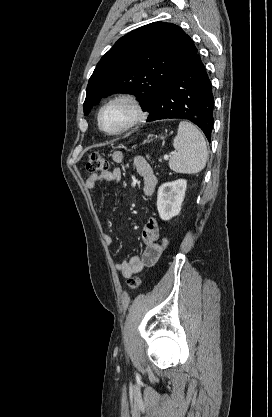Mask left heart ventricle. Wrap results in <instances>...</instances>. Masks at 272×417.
Segmentation results:
<instances>
[{
    "label": "left heart ventricle",
    "mask_w": 272,
    "mask_h": 417,
    "mask_svg": "<svg viewBox=\"0 0 272 417\" xmlns=\"http://www.w3.org/2000/svg\"><path fill=\"white\" fill-rule=\"evenodd\" d=\"M134 116L130 105L119 102L109 106L103 113L102 124L105 129L114 131L126 125Z\"/></svg>",
    "instance_id": "obj_1"
}]
</instances>
